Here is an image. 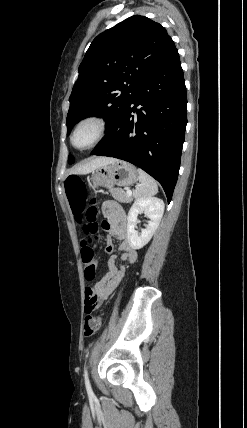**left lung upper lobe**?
I'll return each instance as SVG.
<instances>
[{
	"mask_svg": "<svg viewBox=\"0 0 247 428\" xmlns=\"http://www.w3.org/2000/svg\"><path fill=\"white\" fill-rule=\"evenodd\" d=\"M175 49L164 27L140 15L98 35L79 66L69 97L67 135L89 115L103 116L109 128L141 82ZM68 163H74L72 155Z\"/></svg>",
	"mask_w": 247,
	"mask_h": 428,
	"instance_id": "1",
	"label": "left lung upper lobe"
}]
</instances>
